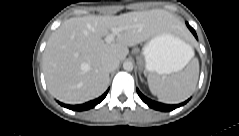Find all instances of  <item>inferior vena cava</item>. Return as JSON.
<instances>
[{
    "label": "inferior vena cava",
    "mask_w": 239,
    "mask_h": 136,
    "mask_svg": "<svg viewBox=\"0 0 239 136\" xmlns=\"http://www.w3.org/2000/svg\"><path fill=\"white\" fill-rule=\"evenodd\" d=\"M102 65L108 72H112L119 66V60L116 58H106L102 61Z\"/></svg>",
    "instance_id": "obj_1"
}]
</instances>
